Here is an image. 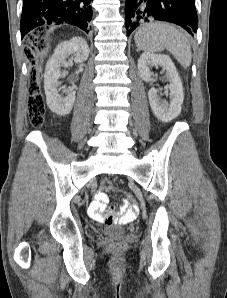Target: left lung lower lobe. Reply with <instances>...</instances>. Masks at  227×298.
<instances>
[{
    "instance_id": "left-lung-lower-lobe-1",
    "label": "left lung lower lobe",
    "mask_w": 227,
    "mask_h": 298,
    "mask_svg": "<svg viewBox=\"0 0 227 298\" xmlns=\"http://www.w3.org/2000/svg\"><path fill=\"white\" fill-rule=\"evenodd\" d=\"M125 18L128 35L141 23L155 20L175 23L191 34L198 27L195 0H126Z\"/></svg>"
}]
</instances>
